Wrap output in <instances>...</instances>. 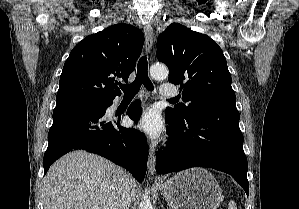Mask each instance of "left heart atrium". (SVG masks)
Masks as SVG:
<instances>
[{"mask_svg": "<svg viewBox=\"0 0 299 209\" xmlns=\"http://www.w3.org/2000/svg\"><path fill=\"white\" fill-rule=\"evenodd\" d=\"M136 125L151 138H156L163 130V122L156 109H147L137 120Z\"/></svg>", "mask_w": 299, "mask_h": 209, "instance_id": "obj_1", "label": "left heart atrium"}]
</instances>
